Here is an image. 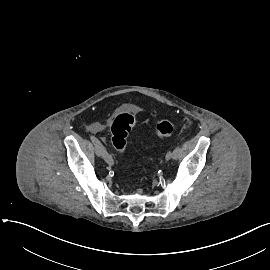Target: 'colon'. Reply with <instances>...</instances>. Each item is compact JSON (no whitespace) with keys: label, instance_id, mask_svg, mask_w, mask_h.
Here are the masks:
<instances>
[{"label":"colon","instance_id":"colon-1","mask_svg":"<svg viewBox=\"0 0 270 270\" xmlns=\"http://www.w3.org/2000/svg\"><path fill=\"white\" fill-rule=\"evenodd\" d=\"M135 123V118L129 113H122L116 116L111 122L110 134L114 149L119 154H124L127 148V136ZM175 130L174 122L164 117L157 121L155 132L159 137H167Z\"/></svg>","mask_w":270,"mask_h":270}]
</instances>
